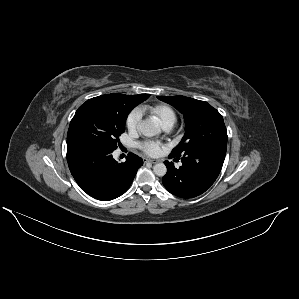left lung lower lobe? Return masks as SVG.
I'll return each instance as SVG.
<instances>
[{"label":"left lung lower lobe","instance_id":"1","mask_svg":"<svg viewBox=\"0 0 299 299\" xmlns=\"http://www.w3.org/2000/svg\"><path fill=\"white\" fill-rule=\"evenodd\" d=\"M227 145H209L192 150L181 157L182 166L165 161L167 173L162 182L172 194L193 198L204 193L218 177L226 155ZM170 158H173L170 155Z\"/></svg>","mask_w":299,"mask_h":299}]
</instances>
